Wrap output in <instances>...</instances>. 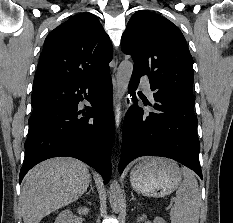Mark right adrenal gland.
Listing matches in <instances>:
<instances>
[{"label": "right adrenal gland", "instance_id": "right-adrenal-gland-1", "mask_svg": "<svg viewBox=\"0 0 233 223\" xmlns=\"http://www.w3.org/2000/svg\"><path fill=\"white\" fill-rule=\"evenodd\" d=\"M91 191H94L93 185H92V177L90 179V189H89L88 193H91Z\"/></svg>", "mask_w": 233, "mask_h": 223}]
</instances>
